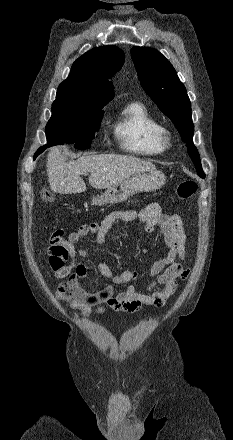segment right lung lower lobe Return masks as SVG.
Segmentation results:
<instances>
[{
    "label": "right lung lower lobe",
    "mask_w": 233,
    "mask_h": 440,
    "mask_svg": "<svg viewBox=\"0 0 233 440\" xmlns=\"http://www.w3.org/2000/svg\"><path fill=\"white\" fill-rule=\"evenodd\" d=\"M46 148H47V145H45V146L39 148V149L37 150V152L35 153V155H34V159H35L40 153H42Z\"/></svg>",
    "instance_id": "obj_1"
}]
</instances>
